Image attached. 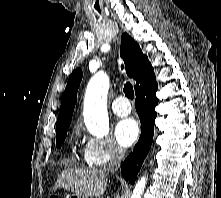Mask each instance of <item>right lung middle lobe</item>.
<instances>
[{
	"label": "right lung middle lobe",
	"instance_id": "1",
	"mask_svg": "<svg viewBox=\"0 0 221 198\" xmlns=\"http://www.w3.org/2000/svg\"><path fill=\"white\" fill-rule=\"evenodd\" d=\"M68 129L69 127H65L59 131H56V147L57 148H61L62 144L64 143Z\"/></svg>",
	"mask_w": 221,
	"mask_h": 198
}]
</instances>
